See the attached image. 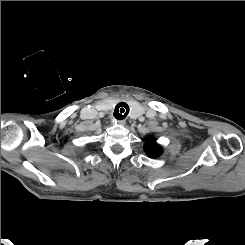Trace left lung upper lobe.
Wrapping results in <instances>:
<instances>
[{
  "label": "left lung upper lobe",
  "instance_id": "1",
  "mask_svg": "<svg viewBox=\"0 0 245 245\" xmlns=\"http://www.w3.org/2000/svg\"><path fill=\"white\" fill-rule=\"evenodd\" d=\"M144 149L147 155L152 158H156L162 153L161 147L159 144H157L156 139L153 137L148 138L144 145Z\"/></svg>",
  "mask_w": 245,
  "mask_h": 245
}]
</instances>
